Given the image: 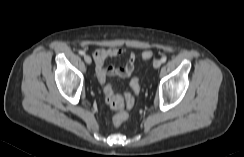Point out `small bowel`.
<instances>
[{"mask_svg":"<svg viewBox=\"0 0 244 157\" xmlns=\"http://www.w3.org/2000/svg\"><path fill=\"white\" fill-rule=\"evenodd\" d=\"M125 52V49L121 47L97 48L93 51V58L96 65V76L100 83L104 84L107 77L117 76L127 78L132 74L137 60V56L134 52L128 53V59L121 67L114 65L105 66L106 59L123 55Z\"/></svg>","mask_w":244,"mask_h":157,"instance_id":"obj_1","label":"small bowel"}]
</instances>
